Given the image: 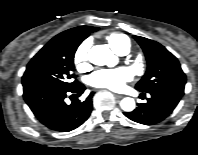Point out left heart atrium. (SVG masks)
Here are the masks:
<instances>
[{
	"label": "left heart atrium",
	"mask_w": 198,
	"mask_h": 155,
	"mask_svg": "<svg viewBox=\"0 0 198 155\" xmlns=\"http://www.w3.org/2000/svg\"><path fill=\"white\" fill-rule=\"evenodd\" d=\"M130 79L131 71L126 67H120L96 71L90 76L89 82L97 88L119 91L124 88L125 83Z\"/></svg>",
	"instance_id": "left-heart-atrium-1"
}]
</instances>
